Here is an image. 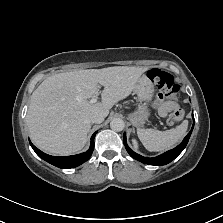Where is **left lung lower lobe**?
I'll use <instances>...</instances> for the list:
<instances>
[{
    "label": "left lung lower lobe",
    "mask_w": 223,
    "mask_h": 223,
    "mask_svg": "<svg viewBox=\"0 0 223 223\" xmlns=\"http://www.w3.org/2000/svg\"><path fill=\"white\" fill-rule=\"evenodd\" d=\"M194 123H195V120H194V116H193V126L191 128V131L187 134V136L184 138V140L182 141L181 144H179L176 148L169 150V151L163 153L162 155H159L154 158H146V157H143V156L135 153L134 151H132L126 143V134H124V136H123V142H124L127 152L134 159H136L144 164H149V165H157V166L166 165V164L170 163L171 161H173L184 150V148L186 147V145L189 141L190 135L192 133Z\"/></svg>",
    "instance_id": "0a47b994"
}]
</instances>
